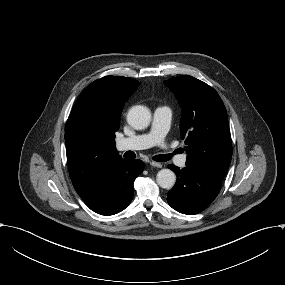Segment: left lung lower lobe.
Listing matches in <instances>:
<instances>
[{
	"label": "left lung lower lobe",
	"instance_id": "0a47b994",
	"mask_svg": "<svg viewBox=\"0 0 285 285\" xmlns=\"http://www.w3.org/2000/svg\"><path fill=\"white\" fill-rule=\"evenodd\" d=\"M177 175L174 187L168 192V204L176 211L193 215L202 212L218 195L222 181L209 177L189 166L183 169L167 166Z\"/></svg>",
	"mask_w": 285,
	"mask_h": 285
}]
</instances>
